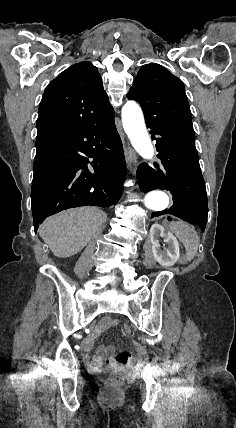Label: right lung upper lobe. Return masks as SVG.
Returning a JSON list of instances; mask_svg holds the SVG:
<instances>
[{"mask_svg": "<svg viewBox=\"0 0 236 428\" xmlns=\"http://www.w3.org/2000/svg\"><path fill=\"white\" fill-rule=\"evenodd\" d=\"M114 114L97 68L90 62L70 66L45 89L36 141L80 128Z\"/></svg>", "mask_w": 236, "mask_h": 428, "instance_id": "right-lung-upper-lobe-1", "label": "right lung upper lobe"}]
</instances>
